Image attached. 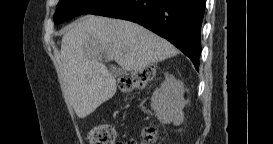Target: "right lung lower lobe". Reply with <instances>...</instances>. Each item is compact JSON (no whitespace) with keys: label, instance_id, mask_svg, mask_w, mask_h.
<instances>
[{"label":"right lung lower lobe","instance_id":"right-lung-lower-lobe-1","mask_svg":"<svg viewBox=\"0 0 273 144\" xmlns=\"http://www.w3.org/2000/svg\"><path fill=\"white\" fill-rule=\"evenodd\" d=\"M206 0H109L93 15L136 22L164 37L199 69Z\"/></svg>","mask_w":273,"mask_h":144}]
</instances>
